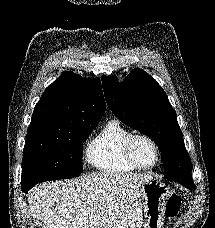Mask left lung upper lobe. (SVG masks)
<instances>
[{
    "mask_svg": "<svg viewBox=\"0 0 215 228\" xmlns=\"http://www.w3.org/2000/svg\"><path fill=\"white\" fill-rule=\"evenodd\" d=\"M108 107L123 123L150 137L158 146L164 177L192 176L191 159L183 134L164 90L156 80L135 68L121 82L115 76H102Z\"/></svg>",
    "mask_w": 215,
    "mask_h": 228,
    "instance_id": "5c2ea615",
    "label": "left lung upper lobe"
}]
</instances>
